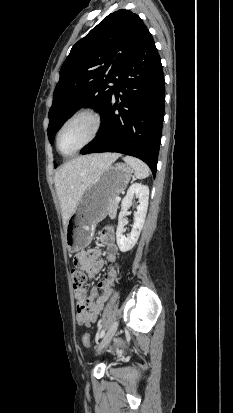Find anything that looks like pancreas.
I'll return each mask as SVG.
<instances>
[{"label": "pancreas", "mask_w": 233, "mask_h": 413, "mask_svg": "<svg viewBox=\"0 0 233 413\" xmlns=\"http://www.w3.org/2000/svg\"><path fill=\"white\" fill-rule=\"evenodd\" d=\"M118 209V202L115 200V198L113 200H110L108 203V214L112 217H114L116 215Z\"/></svg>", "instance_id": "cf45deb5"}]
</instances>
